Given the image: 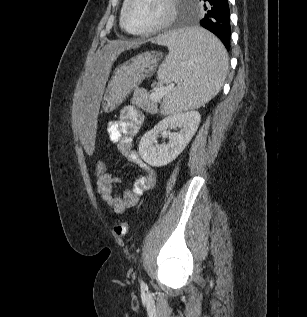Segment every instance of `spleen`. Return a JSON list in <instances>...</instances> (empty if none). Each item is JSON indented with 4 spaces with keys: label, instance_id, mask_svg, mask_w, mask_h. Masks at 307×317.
Here are the masks:
<instances>
[{
    "label": "spleen",
    "instance_id": "1",
    "mask_svg": "<svg viewBox=\"0 0 307 317\" xmlns=\"http://www.w3.org/2000/svg\"><path fill=\"white\" fill-rule=\"evenodd\" d=\"M166 45L169 55L158 70V80L176 87L168 91L163 114L199 108L221 89L228 71L222 43L203 26H178L172 33H155L150 47Z\"/></svg>",
    "mask_w": 307,
    "mask_h": 317
}]
</instances>
